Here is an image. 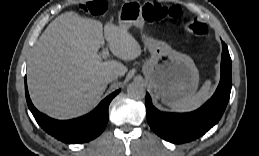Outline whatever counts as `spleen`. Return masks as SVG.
I'll return each mask as SVG.
<instances>
[{"mask_svg":"<svg viewBox=\"0 0 259 156\" xmlns=\"http://www.w3.org/2000/svg\"><path fill=\"white\" fill-rule=\"evenodd\" d=\"M211 81H206L202 88L195 94L174 104L170 108L176 112H189L200 107L210 97Z\"/></svg>","mask_w":259,"mask_h":156,"instance_id":"spleen-1","label":"spleen"}]
</instances>
